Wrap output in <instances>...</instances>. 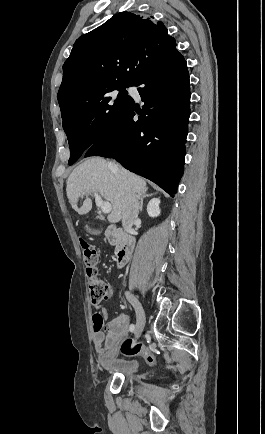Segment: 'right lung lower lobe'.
Masks as SVG:
<instances>
[{"label":"right lung lower lobe","mask_w":265,"mask_h":434,"mask_svg":"<svg viewBox=\"0 0 265 434\" xmlns=\"http://www.w3.org/2000/svg\"><path fill=\"white\" fill-rule=\"evenodd\" d=\"M132 86H141L142 109L133 100L119 123L84 157L114 158L174 197L183 174L190 116L186 60L175 47L147 67Z\"/></svg>","instance_id":"98d812e1"}]
</instances>
